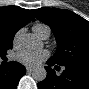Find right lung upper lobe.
I'll return each mask as SVG.
<instances>
[{
	"label": "right lung upper lobe",
	"mask_w": 89,
	"mask_h": 89,
	"mask_svg": "<svg viewBox=\"0 0 89 89\" xmlns=\"http://www.w3.org/2000/svg\"><path fill=\"white\" fill-rule=\"evenodd\" d=\"M32 10L18 6L0 8V36L14 37L15 33L30 21H35Z\"/></svg>",
	"instance_id": "right-lung-upper-lobe-1"
}]
</instances>
